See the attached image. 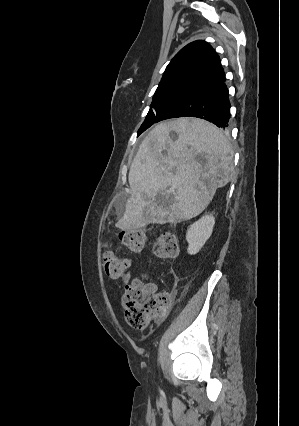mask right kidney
Returning <instances> with one entry per match:
<instances>
[{
	"label": "right kidney",
	"instance_id": "right-kidney-1",
	"mask_svg": "<svg viewBox=\"0 0 299 426\" xmlns=\"http://www.w3.org/2000/svg\"><path fill=\"white\" fill-rule=\"evenodd\" d=\"M214 224L215 218L212 215H205L189 227L186 233L188 254L194 255L201 250L205 242L211 236Z\"/></svg>",
	"mask_w": 299,
	"mask_h": 426
}]
</instances>
